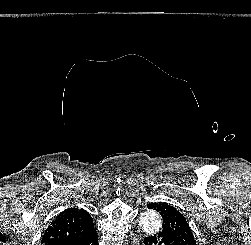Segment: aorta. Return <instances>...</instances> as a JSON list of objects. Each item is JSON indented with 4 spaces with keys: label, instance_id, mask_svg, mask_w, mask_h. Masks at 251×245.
<instances>
[{
    "label": "aorta",
    "instance_id": "aorta-1",
    "mask_svg": "<svg viewBox=\"0 0 251 245\" xmlns=\"http://www.w3.org/2000/svg\"><path fill=\"white\" fill-rule=\"evenodd\" d=\"M140 227L147 234L157 233L162 227L161 216L155 211H146L142 213L139 221Z\"/></svg>",
    "mask_w": 251,
    "mask_h": 245
}]
</instances>
